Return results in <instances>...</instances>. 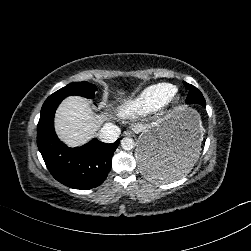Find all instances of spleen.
<instances>
[{
    "instance_id": "1",
    "label": "spleen",
    "mask_w": 251,
    "mask_h": 251,
    "mask_svg": "<svg viewBox=\"0 0 251 251\" xmlns=\"http://www.w3.org/2000/svg\"><path fill=\"white\" fill-rule=\"evenodd\" d=\"M195 159H196V156L193 159H190L188 161H182L179 166V169L176 170L173 174L170 173L168 168L156 162L149 163L148 178L161 179L164 181H170V180L181 178L182 176L190 172L191 168L194 165L193 162L195 161Z\"/></svg>"
}]
</instances>
